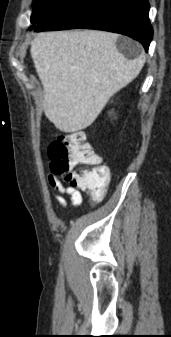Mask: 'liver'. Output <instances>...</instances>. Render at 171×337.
I'll use <instances>...</instances> for the list:
<instances>
[{"label":"liver","mask_w":171,"mask_h":337,"mask_svg":"<svg viewBox=\"0 0 171 337\" xmlns=\"http://www.w3.org/2000/svg\"><path fill=\"white\" fill-rule=\"evenodd\" d=\"M118 35L103 31L38 34L31 57L44 89L46 117L62 132L90 126L109 99L140 73L145 55L129 60L116 48Z\"/></svg>","instance_id":"6515ba94"}]
</instances>
